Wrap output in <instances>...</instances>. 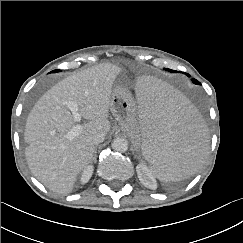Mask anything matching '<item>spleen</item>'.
<instances>
[{"instance_id":"obj_1","label":"spleen","mask_w":243,"mask_h":243,"mask_svg":"<svg viewBox=\"0 0 243 243\" xmlns=\"http://www.w3.org/2000/svg\"><path fill=\"white\" fill-rule=\"evenodd\" d=\"M136 99V149L161 182L193 175L208 148L207 129L200 114L152 76L139 77Z\"/></svg>"}]
</instances>
